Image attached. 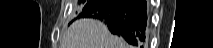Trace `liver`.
Here are the masks:
<instances>
[{
  "instance_id": "obj_1",
  "label": "liver",
  "mask_w": 213,
  "mask_h": 48,
  "mask_svg": "<svg viewBox=\"0 0 213 48\" xmlns=\"http://www.w3.org/2000/svg\"><path fill=\"white\" fill-rule=\"evenodd\" d=\"M61 48H129L120 37L95 19H79L65 31Z\"/></svg>"
}]
</instances>
